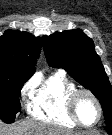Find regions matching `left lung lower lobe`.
I'll list each match as a JSON object with an SVG mask.
<instances>
[{"label": "left lung lower lobe", "mask_w": 112, "mask_h": 135, "mask_svg": "<svg viewBox=\"0 0 112 135\" xmlns=\"http://www.w3.org/2000/svg\"><path fill=\"white\" fill-rule=\"evenodd\" d=\"M107 132L112 135V126H106Z\"/></svg>", "instance_id": "0a47b994"}]
</instances>
